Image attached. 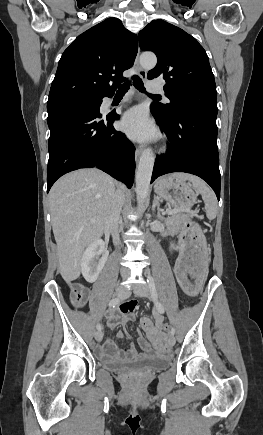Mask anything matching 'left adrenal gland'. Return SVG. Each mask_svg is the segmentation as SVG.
<instances>
[{"label": "left adrenal gland", "instance_id": "1", "mask_svg": "<svg viewBox=\"0 0 263 435\" xmlns=\"http://www.w3.org/2000/svg\"><path fill=\"white\" fill-rule=\"evenodd\" d=\"M160 202H161L160 198H159L158 196H155V195H154V200H153L152 210L155 211V208L157 207V218H158V219H161V218H162L161 212L163 211V210L160 208Z\"/></svg>", "mask_w": 263, "mask_h": 435}]
</instances>
